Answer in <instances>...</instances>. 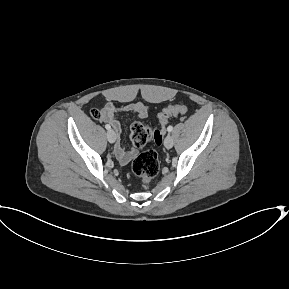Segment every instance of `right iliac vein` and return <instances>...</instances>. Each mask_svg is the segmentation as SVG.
<instances>
[{"label":"right iliac vein","mask_w":289,"mask_h":289,"mask_svg":"<svg viewBox=\"0 0 289 289\" xmlns=\"http://www.w3.org/2000/svg\"><path fill=\"white\" fill-rule=\"evenodd\" d=\"M107 139L110 143H114L116 140V133L113 130H108Z\"/></svg>","instance_id":"1"}]
</instances>
